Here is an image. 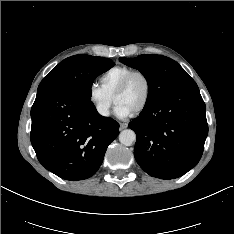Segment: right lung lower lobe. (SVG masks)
Masks as SVG:
<instances>
[{"label":"right lung lower lobe","mask_w":234,"mask_h":234,"mask_svg":"<svg viewBox=\"0 0 234 234\" xmlns=\"http://www.w3.org/2000/svg\"><path fill=\"white\" fill-rule=\"evenodd\" d=\"M30 139L39 162L66 180H83L99 169L119 124L98 114L71 87L37 92Z\"/></svg>","instance_id":"right-lung-lower-lobe-1"}]
</instances>
